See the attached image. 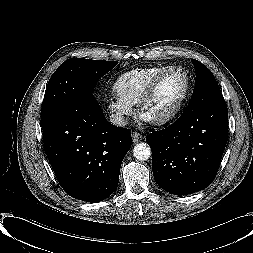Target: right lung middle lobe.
<instances>
[{
  "mask_svg": "<svg viewBox=\"0 0 253 253\" xmlns=\"http://www.w3.org/2000/svg\"><path fill=\"white\" fill-rule=\"evenodd\" d=\"M118 64L83 58L66 60L51 76L46 87L41 110V124H47L66 105L91 94L96 82Z\"/></svg>",
  "mask_w": 253,
  "mask_h": 253,
  "instance_id": "dd1d6c3e",
  "label": "right lung middle lobe"
}]
</instances>
